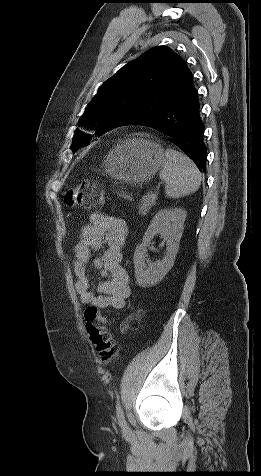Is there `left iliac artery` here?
<instances>
[{
    "label": "left iliac artery",
    "mask_w": 261,
    "mask_h": 476,
    "mask_svg": "<svg viewBox=\"0 0 261 476\" xmlns=\"http://www.w3.org/2000/svg\"><path fill=\"white\" fill-rule=\"evenodd\" d=\"M116 414L118 421L120 422L121 425H125V417H124V412L120 404L116 406Z\"/></svg>",
    "instance_id": "left-iliac-artery-1"
}]
</instances>
